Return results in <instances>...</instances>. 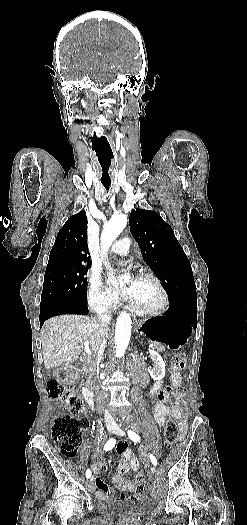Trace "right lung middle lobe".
Wrapping results in <instances>:
<instances>
[{"label": "right lung middle lobe", "mask_w": 247, "mask_h": 525, "mask_svg": "<svg viewBox=\"0 0 247 525\" xmlns=\"http://www.w3.org/2000/svg\"><path fill=\"white\" fill-rule=\"evenodd\" d=\"M89 267L46 271L41 294L40 314L61 303L86 302V274Z\"/></svg>", "instance_id": "obj_1"}]
</instances>
